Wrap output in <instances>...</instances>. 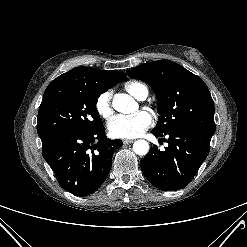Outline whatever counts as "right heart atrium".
Returning <instances> with one entry per match:
<instances>
[{"mask_svg":"<svg viewBox=\"0 0 247 247\" xmlns=\"http://www.w3.org/2000/svg\"><path fill=\"white\" fill-rule=\"evenodd\" d=\"M95 109L98 115L104 119H108L112 113V91L105 90L101 92L95 100Z\"/></svg>","mask_w":247,"mask_h":247,"instance_id":"d8ad5b80","label":"right heart atrium"}]
</instances>
